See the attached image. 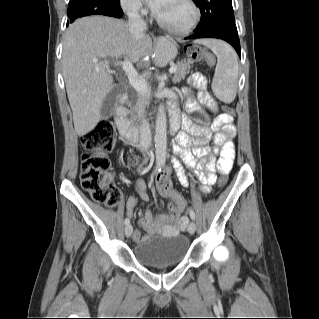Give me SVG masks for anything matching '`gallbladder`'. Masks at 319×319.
Wrapping results in <instances>:
<instances>
[{
	"instance_id": "1",
	"label": "gallbladder",
	"mask_w": 319,
	"mask_h": 319,
	"mask_svg": "<svg viewBox=\"0 0 319 319\" xmlns=\"http://www.w3.org/2000/svg\"><path fill=\"white\" fill-rule=\"evenodd\" d=\"M123 91L124 88L121 85H116L113 90L107 94L101 107V115L103 119H108L112 116L116 101Z\"/></svg>"
}]
</instances>
